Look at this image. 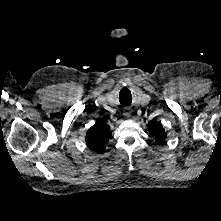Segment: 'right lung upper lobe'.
<instances>
[{
    "label": "right lung upper lobe",
    "mask_w": 221,
    "mask_h": 221,
    "mask_svg": "<svg viewBox=\"0 0 221 221\" xmlns=\"http://www.w3.org/2000/svg\"><path fill=\"white\" fill-rule=\"evenodd\" d=\"M111 136L109 125L103 120H98L87 132V146L99 153L105 149V143Z\"/></svg>",
    "instance_id": "1"
}]
</instances>
